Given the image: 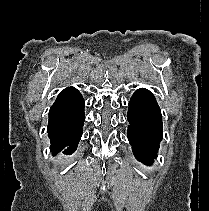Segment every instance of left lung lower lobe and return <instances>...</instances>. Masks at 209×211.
<instances>
[{
    "label": "left lung lower lobe",
    "mask_w": 209,
    "mask_h": 211,
    "mask_svg": "<svg viewBox=\"0 0 209 211\" xmlns=\"http://www.w3.org/2000/svg\"><path fill=\"white\" fill-rule=\"evenodd\" d=\"M128 140L137 160L151 165L162 140V116L154 95L144 88L136 90L127 113Z\"/></svg>",
    "instance_id": "0a47b994"
}]
</instances>
